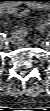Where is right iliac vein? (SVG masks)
Masks as SVG:
<instances>
[{"label":"right iliac vein","mask_w":50,"mask_h":111,"mask_svg":"<svg viewBox=\"0 0 50 111\" xmlns=\"http://www.w3.org/2000/svg\"><path fill=\"white\" fill-rule=\"evenodd\" d=\"M4 41H5V39L1 37V39H0L1 45L4 44Z\"/></svg>","instance_id":"63e3f726"}]
</instances>
